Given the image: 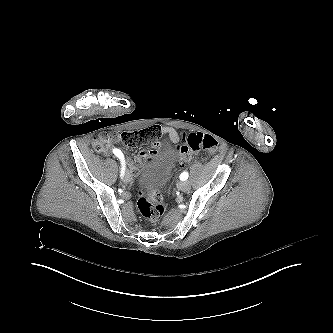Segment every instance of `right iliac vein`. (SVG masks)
I'll return each mask as SVG.
<instances>
[{
    "label": "right iliac vein",
    "instance_id": "1",
    "mask_svg": "<svg viewBox=\"0 0 333 333\" xmlns=\"http://www.w3.org/2000/svg\"><path fill=\"white\" fill-rule=\"evenodd\" d=\"M124 179L126 183H130L132 181V174L128 170L126 171Z\"/></svg>",
    "mask_w": 333,
    "mask_h": 333
}]
</instances>
